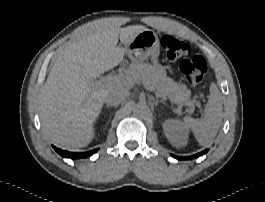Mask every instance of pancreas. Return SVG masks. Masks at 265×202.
<instances>
[{
	"label": "pancreas",
	"instance_id": "obj_1",
	"mask_svg": "<svg viewBox=\"0 0 265 202\" xmlns=\"http://www.w3.org/2000/svg\"><path fill=\"white\" fill-rule=\"evenodd\" d=\"M128 77L130 81L147 84L152 91L194 110L193 101L189 100L191 91L183 84L175 83L166 76L164 71L157 69L147 63L131 64Z\"/></svg>",
	"mask_w": 265,
	"mask_h": 202
}]
</instances>
